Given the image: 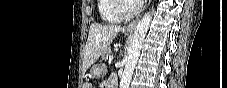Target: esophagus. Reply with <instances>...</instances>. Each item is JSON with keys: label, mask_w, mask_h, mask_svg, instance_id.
<instances>
[{"label": "esophagus", "mask_w": 227, "mask_h": 88, "mask_svg": "<svg viewBox=\"0 0 227 88\" xmlns=\"http://www.w3.org/2000/svg\"><path fill=\"white\" fill-rule=\"evenodd\" d=\"M149 3H150V0L148 1V4H149ZM137 22H138V19L133 20L132 22H130L128 25H126V26L124 27V30H125V31H133L134 28L136 27Z\"/></svg>", "instance_id": "obj_1"}]
</instances>
